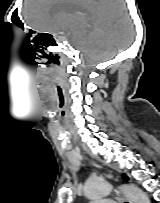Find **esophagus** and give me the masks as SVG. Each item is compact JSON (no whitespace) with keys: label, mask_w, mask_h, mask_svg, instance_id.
I'll use <instances>...</instances> for the list:
<instances>
[{"label":"esophagus","mask_w":160,"mask_h":203,"mask_svg":"<svg viewBox=\"0 0 160 203\" xmlns=\"http://www.w3.org/2000/svg\"><path fill=\"white\" fill-rule=\"evenodd\" d=\"M93 164L98 167V165H97L95 162H93ZM109 178H111V179H113L115 182H117V179H114V178H113L112 176H110V175H109ZM115 194L119 197L118 191L115 190ZM122 199H123L122 203H131V202H130L128 199H126V198H122Z\"/></svg>","instance_id":"obj_1"}]
</instances>
